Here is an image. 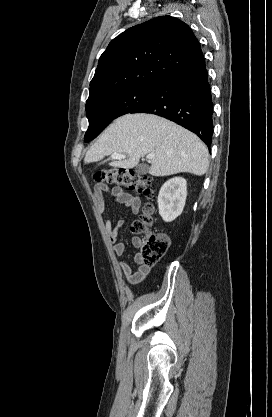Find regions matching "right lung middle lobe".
Returning a JSON list of instances; mask_svg holds the SVG:
<instances>
[{
	"mask_svg": "<svg viewBox=\"0 0 272 417\" xmlns=\"http://www.w3.org/2000/svg\"><path fill=\"white\" fill-rule=\"evenodd\" d=\"M158 87L159 84L139 85L87 102L85 108L89 127L84 141L94 139L117 117L132 113L147 101Z\"/></svg>",
	"mask_w": 272,
	"mask_h": 417,
	"instance_id": "1",
	"label": "right lung middle lobe"
}]
</instances>
